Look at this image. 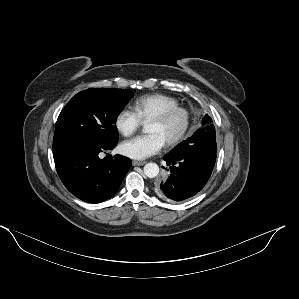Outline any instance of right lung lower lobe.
<instances>
[{"label":"right lung lower lobe","instance_id":"right-lung-lower-lobe-1","mask_svg":"<svg viewBox=\"0 0 299 299\" xmlns=\"http://www.w3.org/2000/svg\"><path fill=\"white\" fill-rule=\"evenodd\" d=\"M115 146L76 143L53 149L56 170L65 187L89 203L110 198L131 167L130 159L121 155L99 158L100 152Z\"/></svg>","mask_w":299,"mask_h":299}]
</instances>
